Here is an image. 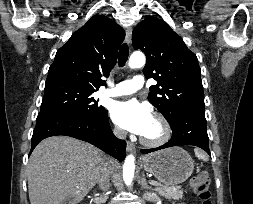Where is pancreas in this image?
<instances>
[{"label":"pancreas","mask_w":253,"mask_h":204,"mask_svg":"<svg viewBox=\"0 0 253 204\" xmlns=\"http://www.w3.org/2000/svg\"><path fill=\"white\" fill-rule=\"evenodd\" d=\"M160 195L164 196L167 199H182L183 198V190L180 186H164L160 185L155 188Z\"/></svg>","instance_id":"obj_1"}]
</instances>
